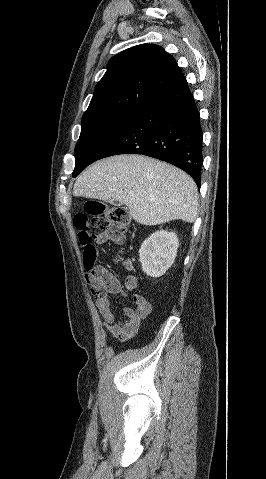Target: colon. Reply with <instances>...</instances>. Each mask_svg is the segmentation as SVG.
Returning a JSON list of instances; mask_svg holds the SVG:
<instances>
[{
    "instance_id": "5ec220e1",
    "label": "colon",
    "mask_w": 266,
    "mask_h": 479,
    "mask_svg": "<svg viewBox=\"0 0 266 479\" xmlns=\"http://www.w3.org/2000/svg\"><path fill=\"white\" fill-rule=\"evenodd\" d=\"M129 223V214L124 207L107 205L99 200L89 199L83 204V212L74 217V225L78 231L79 242L83 248V267L91 272L98 256V250L92 241V230H109L117 235H125ZM88 281L93 294H97L92 275Z\"/></svg>"
}]
</instances>
